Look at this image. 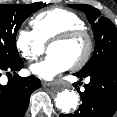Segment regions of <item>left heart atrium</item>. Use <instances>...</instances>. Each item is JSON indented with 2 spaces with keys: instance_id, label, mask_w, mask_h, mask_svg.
Masks as SVG:
<instances>
[{
  "instance_id": "obj_1",
  "label": "left heart atrium",
  "mask_w": 117,
  "mask_h": 117,
  "mask_svg": "<svg viewBox=\"0 0 117 117\" xmlns=\"http://www.w3.org/2000/svg\"><path fill=\"white\" fill-rule=\"evenodd\" d=\"M70 67V63L61 56L49 54L42 61L33 64L30 71L44 80H52Z\"/></svg>"
}]
</instances>
